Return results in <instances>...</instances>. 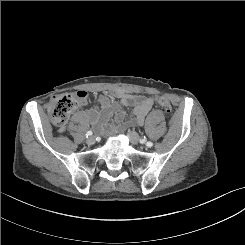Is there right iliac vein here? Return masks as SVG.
<instances>
[{
  "instance_id": "obj_1",
  "label": "right iliac vein",
  "mask_w": 245,
  "mask_h": 245,
  "mask_svg": "<svg viewBox=\"0 0 245 245\" xmlns=\"http://www.w3.org/2000/svg\"><path fill=\"white\" fill-rule=\"evenodd\" d=\"M96 141L95 137L94 136H90L89 138H87L86 140V143L89 144V145H92L94 144Z\"/></svg>"
}]
</instances>
